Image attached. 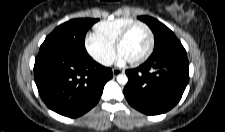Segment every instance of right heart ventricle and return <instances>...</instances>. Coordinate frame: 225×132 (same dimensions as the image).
<instances>
[{"instance_id":"1","label":"right heart ventricle","mask_w":225,"mask_h":132,"mask_svg":"<svg viewBox=\"0 0 225 132\" xmlns=\"http://www.w3.org/2000/svg\"><path fill=\"white\" fill-rule=\"evenodd\" d=\"M136 21L132 18H116L101 21L94 26V35L104 43L114 46L118 36Z\"/></svg>"}]
</instances>
